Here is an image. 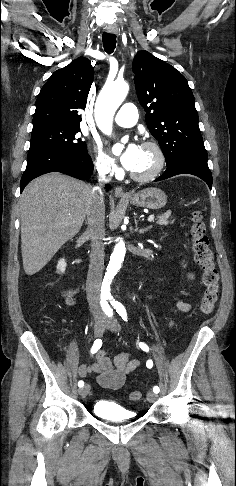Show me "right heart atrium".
<instances>
[{
  "label": "right heart atrium",
  "mask_w": 236,
  "mask_h": 486,
  "mask_svg": "<svg viewBox=\"0 0 236 486\" xmlns=\"http://www.w3.org/2000/svg\"><path fill=\"white\" fill-rule=\"evenodd\" d=\"M94 165L97 171L105 176H111L118 170L117 165L112 157H110L100 145H94L92 148Z\"/></svg>",
  "instance_id": "1"
}]
</instances>
